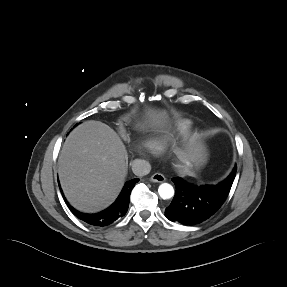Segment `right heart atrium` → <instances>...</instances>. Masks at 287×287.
Returning a JSON list of instances; mask_svg holds the SVG:
<instances>
[{"label": "right heart atrium", "mask_w": 287, "mask_h": 287, "mask_svg": "<svg viewBox=\"0 0 287 287\" xmlns=\"http://www.w3.org/2000/svg\"><path fill=\"white\" fill-rule=\"evenodd\" d=\"M135 148H136V149H139V145H135Z\"/></svg>", "instance_id": "1"}]
</instances>
